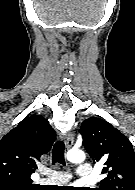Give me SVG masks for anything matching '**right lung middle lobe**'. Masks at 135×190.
<instances>
[{
    "label": "right lung middle lobe",
    "mask_w": 135,
    "mask_h": 190,
    "mask_svg": "<svg viewBox=\"0 0 135 190\" xmlns=\"http://www.w3.org/2000/svg\"><path fill=\"white\" fill-rule=\"evenodd\" d=\"M0 190H36L34 185L0 184Z\"/></svg>",
    "instance_id": "obj_1"
}]
</instances>
